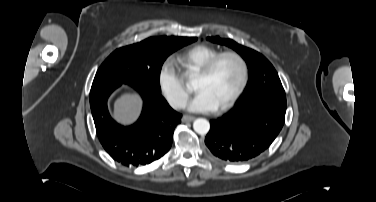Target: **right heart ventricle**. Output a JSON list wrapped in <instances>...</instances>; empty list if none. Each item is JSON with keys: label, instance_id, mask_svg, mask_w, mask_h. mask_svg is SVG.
Listing matches in <instances>:
<instances>
[{"label": "right heart ventricle", "instance_id": "right-heart-ventricle-1", "mask_svg": "<svg viewBox=\"0 0 376 202\" xmlns=\"http://www.w3.org/2000/svg\"><path fill=\"white\" fill-rule=\"evenodd\" d=\"M220 51L210 45H196L173 57L174 62L186 74L197 73L202 66Z\"/></svg>", "mask_w": 376, "mask_h": 202}]
</instances>
